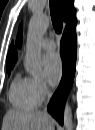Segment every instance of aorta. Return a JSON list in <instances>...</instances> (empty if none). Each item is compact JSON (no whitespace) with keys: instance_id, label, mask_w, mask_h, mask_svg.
I'll return each instance as SVG.
<instances>
[{"instance_id":"obj_1","label":"aorta","mask_w":95,"mask_h":130,"mask_svg":"<svg viewBox=\"0 0 95 130\" xmlns=\"http://www.w3.org/2000/svg\"><path fill=\"white\" fill-rule=\"evenodd\" d=\"M49 20L45 15H34L29 23L26 43V69L32 76L42 73L40 41L46 32ZM73 123L72 108L67 102L64 109V128L71 130Z\"/></svg>"}]
</instances>
